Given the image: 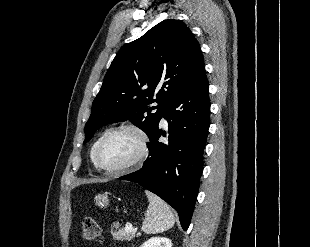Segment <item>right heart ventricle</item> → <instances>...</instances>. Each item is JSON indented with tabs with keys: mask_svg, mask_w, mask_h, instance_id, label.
<instances>
[{
	"mask_svg": "<svg viewBox=\"0 0 310 247\" xmlns=\"http://www.w3.org/2000/svg\"><path fill=\"white\" fill-rule=\"evenodd\" d=\"M105 134V132L104 133H102L96 140H95V142L93 143V145H92V147H91V150H90V158H91V160H92V162L94 163V152H95V149H96V146H97V144H98V142L100 141V139L103 137V135ZM95 164V163H94Z\"/></svg>",
	"mask_w": 310,
	"mask_h": 247,
	"instance_id": "right-heart-ventricle-1",
	"label": "right heart ventricle"
}]
</instances>
